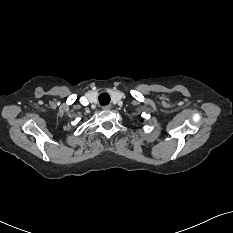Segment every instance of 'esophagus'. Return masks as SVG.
Masks as SVG:
<instances>
[{
  "label": "esophagus",
  "instance_id": "esophagus-1",
  "mask_svg": "<svg viewBox=\"0 0 233 233\" xmlns=\"http://www.w3.org/2000/svg\"><path fill=\"white\" fill-rule=\"evenodd\" d=\"M111 108V105H105L102 107L103 110H109Z\"/></svg>",
  "mask_w": 233,
  "mask_h": 233
}]
</instances>
